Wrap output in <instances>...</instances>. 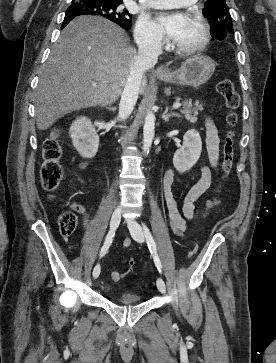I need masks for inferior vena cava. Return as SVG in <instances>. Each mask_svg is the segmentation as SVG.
<instances>
[{"instance_id": "obj_1", "label": "inferior vena cava", "mask_w": 276, "mask_h": 363, "mask_svg": "<svg viewBox=\"0 0 276 363\" xmlns=\"http://www.w3.org/2000/svg\"><path fill=\"white\" fill-rule=\"evenodd\" d=\"M162 53L161 38L146 37L138 41V53L130 63V73L119 104V120H125L136 104L144 72L152 68Z\"/></svg>"}]
</instances>
